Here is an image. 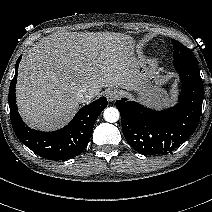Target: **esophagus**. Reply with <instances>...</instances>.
<instances>
[{"instance_id": "esophagus-1", "label": "esophagus", "mask_w": 212, "mask_h": 212, "mask_svg": "<svg viewBox=\"0 0 212 212\" xmlns=\"http://www.w3.org/2000/svg\"><path fill=\"white\" fill-rule=\"evenodd\" d=\"M108 101L113 102L119 97L117 90H110L106 94Z\"/></svg>"}]
</instances>
